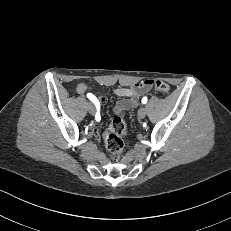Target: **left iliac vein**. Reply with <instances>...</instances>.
Instances as JSON below:
<instances>
[{"label":"left iliac vein","instance_id":"obj_1","mask_svg":"<svg viewBox=\"0 0 231 231\" xmlns=\"http://www.w3.org/2000/svg\"><path fill=\"white\" fill-rule=\"evenodd\" d=\"M145 116H146V109H145V108H140V109L138 110V117H139L140 119H143Z\"/></svg>","mask_w":231,"mask_h":231}]
</instances>
